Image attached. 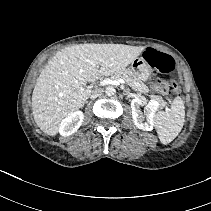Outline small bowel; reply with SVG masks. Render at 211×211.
I'll return each mask as SVG.
<instances>
[{"instance_id": "1", "label": "small bowel", "mask_w": 211, "mask_h": 211, "mask_svg": "<svg viewBox=\"0 0 211 211\" xmlns=\"http://www.w3.org/2000/svg\"><path fill=\"white\" fill-rule=\"evenodd\" d=\"M157 83V82H156ZM156 83L153 85V88L155 89V87H156Z\"/></svg>"}]
</instances>
